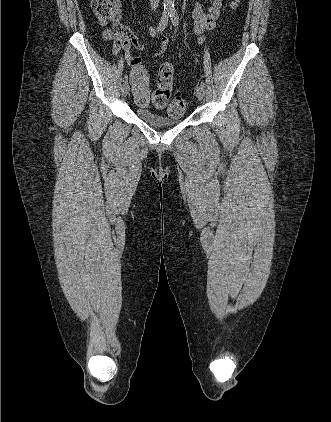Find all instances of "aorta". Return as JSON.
Returning a JSON list of instances; mask_svg holds the SVG:
<instances>
[{"mask_svg": "<svg viewBox=\"0 0 331 422\" xmlns=\"http://www.w3.org/2000/svg\"><path fill=\"white\" fill-rule=\"evenodd\" d=\"M164 10L167 12H173L174 9V0H164Z\"/></svg>", "mask_w": 331, "mask_h": 422, "instance_id": "762f6f07", "label": "aorta"}]
</instances>
